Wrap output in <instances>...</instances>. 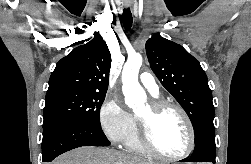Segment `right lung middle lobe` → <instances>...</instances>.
<instances>
[{"label":"right lung middle lobe","instance_id":"right-lung-middle-lobe-1","mask_svg":"<svg viewBox=\"0 0 251 164\" xmlns=\"http://www.w3.org/2000/svg\"><path fill=\"white\" fill-rule=\"evenodd\" d=\"M106 93L60 89L47 92L44 123L65 120L100 126V108Z\"/></svg>","mask_w":251,"mask_h":164}]
</instances>
